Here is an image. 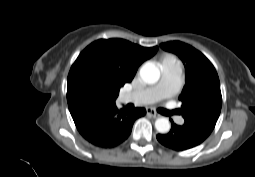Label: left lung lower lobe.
I'll return each mask as SVG.
<instances>
[{"instance_id": "1", "label": "left lung lower lobe", "mask_w": 255, "mask_h": 177, "mask_svg": "<svg viewBox=\"0 0 255 177\" xmlns=\"http://www.w3.org/2000/svg\"><path fill=\"white\" fill-rule=\"evenodd\" d=\"M172 127L167 134H158V141L173 150L183 151L201 144L208 135L192 130L186 125H176L173 121Z\"/></svg>"}]
</instances>
